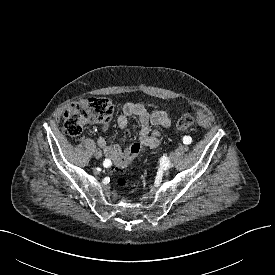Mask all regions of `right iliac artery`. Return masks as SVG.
<instances>
[{"label": "right iliac artery", "instance_id": "82829eb1", "mask_svg": "<svg viewBox=\"0 0 275 275\" xmlns=\"http://www.w3.org/2000/svg\"><path fill=\"white\" fill-rule=\"evenodd\" d=\"M103 165L105 167H109L111 165V161L109 159H105L104 162H103Z\"/></svg>", "mask_w": 275, "mask_h": 275}]
</instances>
